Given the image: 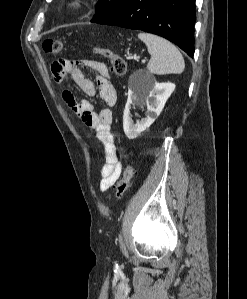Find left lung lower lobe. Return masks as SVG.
Returning <instances> with one entry per match:
<instances>
[{
    "label": "left lung lower lobe",
    "mask_w": 247,
    "mask_h": 299,
    "mask_svg": "<svg viewBox=\"0 0 247 299\" xmlns=\"http://www.w3.org/2000/svg\"><path fill=\"white\" fill-rule=\"evenodd\" d=\"M195 0H123L95 23L162 36L194 55Z\"/></svg>",
    "instance_id": "0a47b994"
}]
</instances>
